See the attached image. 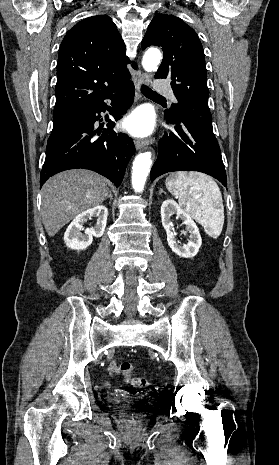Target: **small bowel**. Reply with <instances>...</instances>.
Wrapping results in <instances>:
<instances>
[{
	"mask_svg": "<svg viewBox=\"0 0 279 465\" xmlns=\"http://www.w3.org/2000/svg\"><path fill=\"white\" fill-rule=\"evenodd\" d=\"M108 371L110 374H116L118 373V367H117V364L116 362H111L109 367H108Z\"/></svg>",
	"mask_w": 279,
	"mask_h": 465,
	"instance_id": "small-bowel-1",
	"label": "small bowel"
}]
</instances>
